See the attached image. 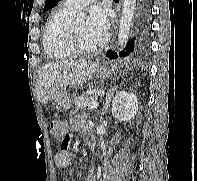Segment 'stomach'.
Returning <instances> with one entry per match:
<instances>
[{
    "label": "stomach",
    "instance_id": "0dacf381",
    "mask_svg": "<svg viewBox=\"0 0 197 181\" xmlns=\"http://www.w3.org/2000/svg\"><path fill=\"white\" fill-rule=\"evenodd\" d=\"M117 70V67L111 65H103L99 66L96 71L97 77L101 79H106L112 77ZM52 105L55 109L58 111H68L73 102V96L65 89H59L57 90L51 97Z\"/></svg>",
    "mask_w": 197,
    "mask_h": 181
}]
</instances>
